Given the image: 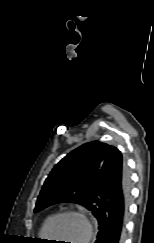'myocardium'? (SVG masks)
<instances>
[{
  "mask_svg": "<svg viewBox=\"0 0 154 243\" xmlns=\"http://www.w3.org/2000/svg\"><path fill=\"white\" fill-rule=\"evenodd\" d=\"M64 216H74V217H78L80 218L84 225H85V233L83 236V239L81 241V243H89L92 234H93V227L92 224L90 222V220L88 219V217L81 211H76V210H63L60 211L56 214H54L48 221L46 228H45V233L47 237H51V228L52 225L54 224V222L60 218V217H64Z\"/></svg>",
  "mask_w": 154,
  "mask_h": 243,
  "instance_id": "f54148a6",
  "label": "myocardium"
}]
</instances>
